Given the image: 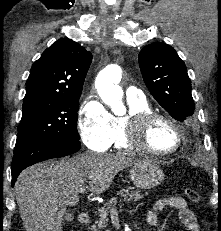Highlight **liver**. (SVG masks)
Listing matches in <instances>:
<instances>
[{
	"mask_svg": "<svg viewBox=\"0 0 221 231\" xmlns=\"http://www.w3.org/2000/svg\"><path fill=\"white\" fill-rule=\"evenodd\" d=\"M138 160L117 154H79L23 170L15 184L16 201L26 231H62L67 206L79 203L78 191L88 183L99 195L115 175Z\"/></svg>",
	"mask_w": 221,
	"mask_h": 231,
	"instance_id": "1",
	"label": "liver"
}]
</instances>
